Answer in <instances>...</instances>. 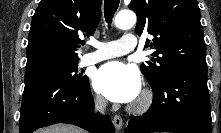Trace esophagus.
Here are the masks:
<instances>
[{
    "label": "esophagus",
    "mask_w": 221,
    "mask_h": 133,
    "mask_svg": "<svg viewBox=\"0 0 221 133\" xmlns=\"http://www.w3.org/2000/svg\"><path fill=\"white\" fill-rule=\"evenodd\" d=\"M113 124L117 131H120L123 127V120L119 115H115L113 118Z\"/></svg>",
    "instance_id": "obj_1"
}]
</instances>
